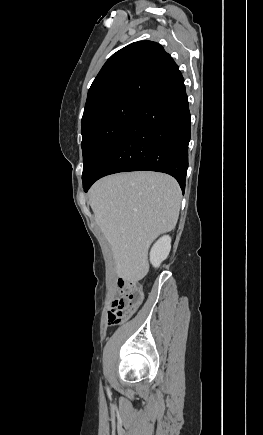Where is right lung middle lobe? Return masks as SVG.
<instances>
[{"label": "right lung middle lobe", "mask_w": 263, "mask_h": 435, "mask_svg": "<svg viewBox=\"0 0 263 435\" xmlns=\"http://www.w3.org/2000/svg\"><path fill=\"white\" fill-rule=\"evenodd\" d=\"M142 105L120 100L98 106L82 120L83 181L95 173Z\"/></svg>", "instance_id": "obj_1"}]
</instances>
